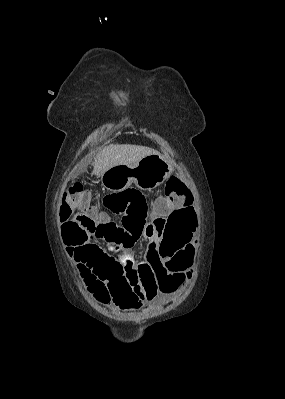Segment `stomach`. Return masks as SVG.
<instances>
[{
    "label": "stomach",
    "mask_w": 285,
    "mask_h": 399,
    "mask_svg": "<svg viewBox=\"0 0 285 399\" xmlns=\"http://www.w3.org/2000/svg\"><path fill=\"white\" fill-rule=\"evenodd\" d=\"M174 167L160 154L145 156L135 165H117L101 175V184L107 190L120 192L134 183L141 190H152L162 184Z\"/></svg>",
    "instance_id": "0dacf381"
}]
</instances>
